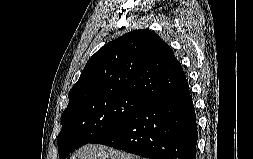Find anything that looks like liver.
<instances>
[{"label": "liver", "mask_w": 253, "mask_h": 159, "mask_svg": "<svg viewBox=\"0 0 253 159\" xmlns=\"http://www.w3.org/2000/svg\"><path fill=\"white\" fill-rule=\"evenodd\" d=\"M70 159H145V158H141L139 156L103 145L87 144L81 147Z\"/></svg>", "instance_id": "obj_1"}]
</instances>
